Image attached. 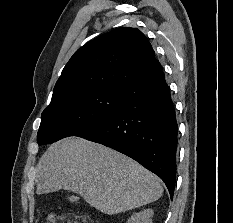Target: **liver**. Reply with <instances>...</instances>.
Returning <instances> with one entry per match:
<instances>
[{
    "label": "liver",
    "instance_id": "6515ba94",
    "mask_svg": "<svg viewBox=\"0 0 233 223\" xmlns=\"http://www.w3.org/2000/svg\"><path fill=\"white\" fill-rule=\"evenodd\" d=\"M36 193L69 189L102 213H120L159 199L162 183L140 163L82 137L56 141L41 155Z\"/></svg>",
    "mask_w": 233,
    "mask_h": 223
}]
</instances>
